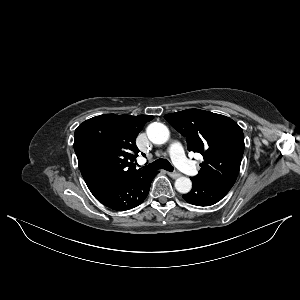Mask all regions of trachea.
<instances>
[{"label":"trachea","instance_id":"1","mask_svg":"<svg viewBox=\"0 0 300 300\" xmlns=\"http://www.w3.org/2000/svg\"><path fill=\"white\" fill-rule=\"evenodd\" d=\"M145 169L148 170H159V169H164L167 171H173L174 168L173 166L169 163L167 159L160 158L151 164H148L147 166L144 167Z\"/></svg>","mask_w":300,"mask_h":300}]
</instances>
